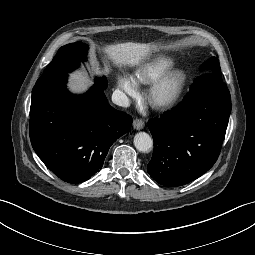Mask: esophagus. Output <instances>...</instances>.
Instances as JSON below:
<instances>
[{"mask_svg":"<svg viewBox=\"0 0 255 255\" xmlns=\"http://www.w3.org/2000/svg\"><path fill=\"white\" fill-rule=\"evenodd\" d=\"M144 121L142 119H139V118H136L134 121H133V127L134 129L136 130H140L144 127Z\"/></svg>","mask_w":255,"mask_h":255,"instance_id":"obj_1","label":"esophagus"}]
</instances>
